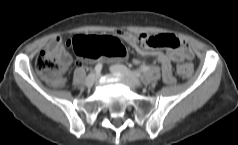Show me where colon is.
<instances>
[{"mask_svg": "<svg viewBox=\"0 0 238 145\" xmlns=\"http://www.w3.org/2000/svg\"><path fill=\"white\" fill-rule=\"evenodd\" d=\"M68 45L81 58L93 61L100 58L121 60L127 51L119 39L112 36L77 35ZM36 70L48 81L60 83L65 66L48 50L40 52L35 59ZM177 73L182 77H189L192 66L188 63L179 64Z\"/></svg>", "mask_w": 238, "mask_h": 145, "instance_id": "obj_1", "label": "colon"}]
</instances>
